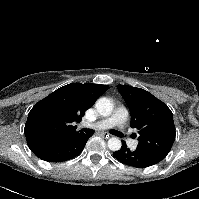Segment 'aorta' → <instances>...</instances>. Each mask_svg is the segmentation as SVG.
<instances>
[{
  "label": "aorta",
  "mask_w": 199,
  "mask_h": 199,
  "mask_svg": "<svg viewBox=\"0 0 199 199\" xmlns=\"http://www.w3.org/2000/svg\"><path fill=\"white\" fill-rule=\"evenodd\" d=\"M96 111L104 117L110 116L113 111V104L108 98H100L95 103ZM108 147L112 151H117L121 148V141L117 137H112L108 140Z\"/></svg>",
  "instance_id": "1"
}]
</instances>
